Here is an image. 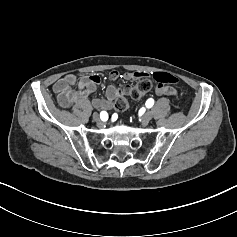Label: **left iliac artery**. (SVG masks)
<instances>
[{"label":"left iliac artery","mask_w":237,"mask_h":237,"mask_svg":"<svg viewBox=\"0 0 237 237\" xmlns=\"http://www.w3.org/2000/svg\"><path fill=\"white\" fill-rule=\"evenodd\" d=\"M154 104V100L152 98H149L147 101H146V107L147 108H151Z\"/></svg>","instance_id":"44dca946"}]
</instances>
